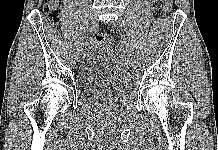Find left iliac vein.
<instances>
[{
  "label": "left iliac vein",
  "instance_id": "1",
  "mask_svg": "<svg viewBox=\"0 0 218 150\" xmlns=\"http://www.w3.org/2000/svg\"><path fill=\"white\" fill-rule=\"evenodd\" d=\"M113 25L118 29H120L121 31H126L127 29L126 22L123 18H118L117 20H115L113 22ZM128 63L132 65L133 62L130 60Z\"/></svg>",
  "mask_w": 218,
  "mask_h": 150
}]
</instances>
